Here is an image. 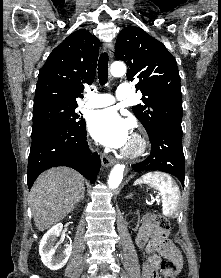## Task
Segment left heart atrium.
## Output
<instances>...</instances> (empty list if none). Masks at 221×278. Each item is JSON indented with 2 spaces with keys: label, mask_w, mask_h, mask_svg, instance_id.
I'll use <instances>...</instances> for the list:
<instances>
[{
  "label": "left heart atrium",
  "mask_w": 221,
  "mask_h": 278,
  "mask_svg": "<svg viewBox=\"0 0 221 278\" xmlns=\"http://www.w3.org/2000/svg\"><path fill=\"white\" fill-rule=\"evenodd\" d=\"M88 129L99 143L112 147H125L130 139V124L112 108L95 111L88 118Z\"/></svg>",
  "instance_id": "obj_1"
}]
</instances>
